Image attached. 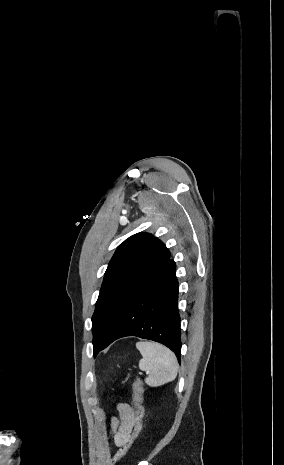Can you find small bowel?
Masks as SVG:
<instances>
[{
    "instance_id": "small-bowel-1",
    "label": "small bowel",
    "mask_w": 284,
    "mask_h": 465,
    "mask_svg": "<svg viewBox=\"0 0 284 465\" xmlns=\"http://www.w3.org/2000/svg\"><path fill=\"white\" fill-rule=\"evenodd\" d=\"M119 418H111L110 426L112 430L114 444L117 447H124L133 432L137 419L135 408L128 403L117 405Z\"/></svg>"
}]
</instances>
